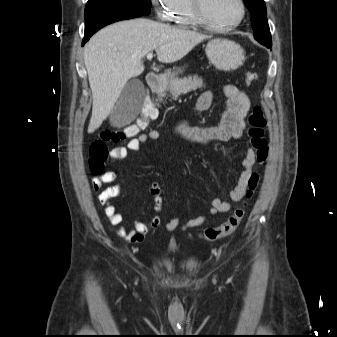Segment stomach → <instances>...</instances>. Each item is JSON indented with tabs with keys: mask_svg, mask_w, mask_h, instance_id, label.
<instances>
[{
	"mask_svg": "<svg viewBox=\"0 0 337 337\" xmlns=\"http://www.w3.org/2000/svg\"><path fill=\"white\" fill-rule=\"evenodd\" d=\"M206 55L217 69L223 71L236 70L245 61V52L242 47L233 41L226 39H213L208 42ZM181 69L165 74V79L170 80L173 76L181 73Z\"/></svg>",
	"mask_w": 337,
	"mask_h": 337,
	"instance_id": "obj_1",
	"label": "stomach"
}]
</instances>
